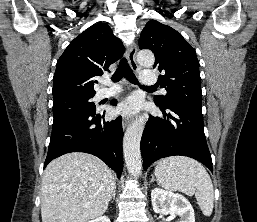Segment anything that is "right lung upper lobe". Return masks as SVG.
Masks as SVG:
<instances>
[{"mask_svg": "<svg viewBox=\"0 0 257 222\" xmlns=\"http://www.w3.org/2000/svg\"><path fill=\"white\" fill-rule=\"evenodd\" d=\"M125 49L105 23H98L78 35L57 61L53 77L54 102L95 95L94 78L116 62Z\"/></svg>", "mask_w": 257, "mask_h": 222, "instance_id": "right-lung-upper-lobe-1", "label": "right lung upper lobe"}]
</instances>
